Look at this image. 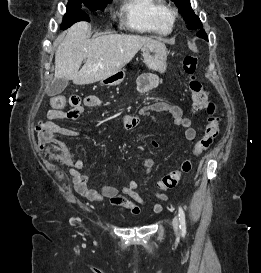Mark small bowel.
Segmentation results:
<instances>
[{"instance_id":"small-bowel-1","label":"small bowel","mask_w":261,"mask_h":273,"mask_svg":"<svg viewBox=\"0 0 261 273\" xmlns=\"http://www.w3.org/2000/svg\"><path fill=\"white\" fill-rule=\"evenodd\" d=\"M162 80L153 73L143 74L138 81L139 90L146 93L156 88ZM84 105L92 108H99L102 102L96 96H88L84 101ZM150 112H166L168 113L176 126L184 129V137L187 141H193L196 137V131L192 126V122L189 118L183 115V111L176 105H171L163 101L154 102L142 109V114L150 115ZM47 118L49 121L44 122L47 128L54 134H59L65 137L75 138L80 135V132L71 128L62 127L53 122V120H76L67 117V112L63 109L54 108L47 112ZM138 118L134 115L124 114L121 116V122L125 129L131 130L138 125ZM153 147H158V143L155 140L151 141ZM64 161L67 166L70 167V175L74 183L75 190L85 198L91 201H103L107 198L110 204L118 209L127 208L132 214H139L141 207H147V203L144 198L138 193V184L134 180H130L126 186L121 190L114 186L103 185L100 192L90 188L88 186L89 176L80 173L78 170L82 169L84 162L81 159H73L69 149L64 145ZM141 166L145 172L149 174L154 168V161L151 158H143L140 161ZM159 200H166V196L163 194H157ZM154 213H159L162 210V206L159 203H154L148 206Z\"/></svg>"}]
</instances>
